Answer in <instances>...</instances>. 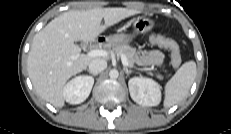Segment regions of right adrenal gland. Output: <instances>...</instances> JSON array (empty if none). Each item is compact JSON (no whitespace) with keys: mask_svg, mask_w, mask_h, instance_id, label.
<instances>
[{"mask_svg":"<svg viewBox=\"0 0 231 134\" xmlns=\"http://www.w3.org/2000/svg\"><path fill=\"white\" fill-rule=\"evenodd\" d=\"M90 74H92L90 71H88ZM94 77H96L97 76V74H92Z\"/></svg>","mask_w":231,"mask_h":134,"instance_id":"obj_1","label":"right adrenal gland"}]
</instances>
